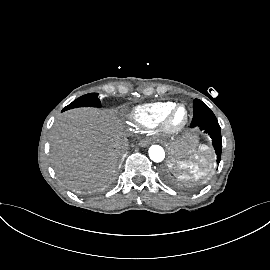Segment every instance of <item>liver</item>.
<instances>
[{
	"instance_id": "liver-1",
	"label": "liver",
	"mask_w": 270,
	"mask_h": 270,
	"mask_svg": "<svg viewBox=\"0 0 270 270\" xmlns=\"http://www.w3.org/2000/svg\"><path fill=\"white\" fill-rule=\"evenodd\" d=\"M114 111L76 108L62 113L51 132V158L60 174L85 187H103L117 166L116 142L123 138Z\"/></svg>"
}]
</instances>
